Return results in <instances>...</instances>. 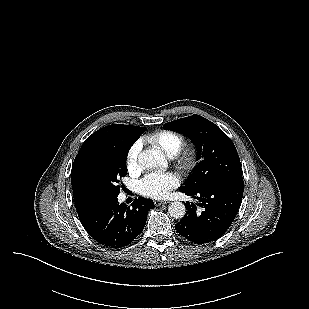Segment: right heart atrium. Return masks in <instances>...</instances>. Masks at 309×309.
<instances>
[{
  "instance_id": "1",
  "label": "right heart atrium",
  "mask_w": 309,
  "mask_h": 309,
  "mask_svg": "<svg viewBox=\"0 0 309 309\" xmlns=\"http://www.w3.org/2000/svg\"><path fill=\"white\" fill-rule=\"evenodd\" d=\"M140 152H141L140 142H135L128 149L126 154V166L129 171L137 170Z\"/></svg>"
}]
</instances>
